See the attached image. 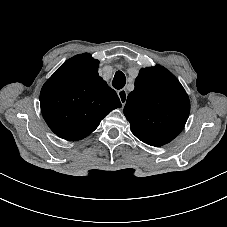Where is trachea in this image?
<instances>
[{
	"instance_id": "trachea-1",
	"label": "trachea",
	"mask_w": 227,
	"mask_h": 227,
	"mask_svg": "<svg viewBox=\"0 0 227 227\" xmlns=\"http://www.w3.org/2000/svg\"><path fill=\"white\" fill-rule=\"evenodd\" d=\"M126 78L123 72L117 71L114 75L112 86L115 89H121L125 86Z\"/></svg>"
}]
</instances>
